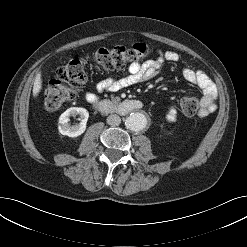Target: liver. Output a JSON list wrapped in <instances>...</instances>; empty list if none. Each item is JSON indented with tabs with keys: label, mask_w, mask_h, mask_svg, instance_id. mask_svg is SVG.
<instances>
[{
	"label": "liver",
	"mask_w": 247,
	"mask_h": 247,
	"mask_svg": "<svg viewBox=\"0 0 247 247\" xmlns=\"http://www.w3.org/2000/svg\"><path fill=\"white\" fill-rule=\"evenodd\" d=\"M41 88H42V78H41V73H38L36 78H35L34 86H33V96L35 98L40 93Z\"/></svg>",
	"instance_id": "6515ba94"
}]
</instances>
